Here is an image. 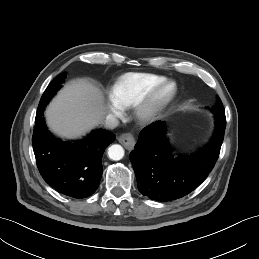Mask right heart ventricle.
<instances>
[{
  "mask_svg": "<svg viewBox=\"0 0 259 259\" xmlns=\"http://www.w3.org/2000/svg\"><path fill=\"white\" fill-rule=\"evenodd\" d=\"M166 80L164 76L150 73H127L111 86L109 95L120 110L127 109L147 90Z\"/></svg>",
  "mask_w": 259,
  "mask_h": 259,
  "instance_id": "right-heart-ventricle-1",
  "label": "right heart ventricle"
}]
</instances>
